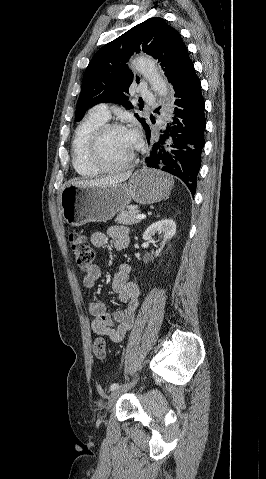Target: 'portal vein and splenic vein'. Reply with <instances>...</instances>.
Wrapping results in <instances>:
<instances>
[{
	"mask_svg": "<svg viewBox=\"0 0 266 479\" xmlns=\"http://www.w3.org/2000/svg\"><path fill=\"white\" fill-rule=\"evenodd\" d=\"M135 218L138 219V220H142V219H145V218H146V215H144V214H138V215L135 216Z\"/></svg>",
	"mask_w": 266,
	"mask_h": 479,
	"instance_id": "18ae733b",
	"label": "portal vein and splenic vein"
}]
</instances>
